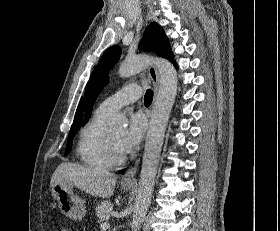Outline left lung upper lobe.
<instances>
[{
	"label": "left lung upper lobe",
	"mask_w": 280,
	"mask_h": 231,
	"mask_svg": "<svg viewBox=\"0 0 280 231\" xmlns=\"http://www.w3.org/2000/svg\"><path fill=\"white\" fill-rule=\"evenodd\" d=\"M140 50L153 51L157 55L173 61L169 40L160 25L151 23L145 30L144 37L139 46ZM121 56V48L117 45L108 48L99 63L93 70L85 91V124L90 118L93 104L108 82V72L116 64ZM174 62V61H173ZM176 65V64H175Z\"/></svg>",
	"instance_id": "obj_1"
}]
</instances>
